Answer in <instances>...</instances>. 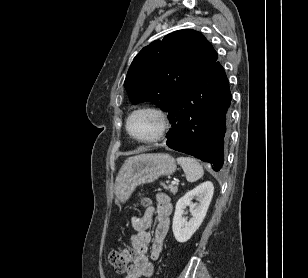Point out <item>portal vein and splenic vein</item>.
<instances>
[{"mask_svg":"<svg viewBox=\"0 0 308 278\" xmlns=\"http://www.w3.org/2000/svg\"><path fill=\"white\" fill-rule=\"evenodd\" d=\"M171 184L172 185L178 184V181H172Z\"/></svg>","mask_w":308,"mask_h":278,"instance_id":"portal-vein-and-splenic-vein-1","label":"portal vein and splenic vein"}]
</instances>
